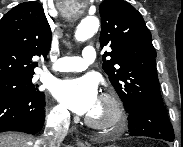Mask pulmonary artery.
I'll return each instance as SVG.
<instances>
[{
  "instance_id": "e3ab8cb5",
  "label": "pulmonary artery",
  "mask_w": 183,
  "mask_h": 147,
  "mask_svg": "<svg viewBox=\"0 0 183 147\" xmlns=\"http://www.w3.org/2000/svg\"><path fill=\"white\" fill-rule=\"evenodd\" d=\"M96 59V50L93 46H86L81 56L62 57L53 66L54 71L69 72L83 71Z\"/></svg>"
}]
</instances>
